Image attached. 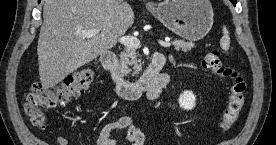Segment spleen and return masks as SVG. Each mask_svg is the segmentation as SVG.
Returning <instances> with one entry per match:
<instances>
[{"instance_id": "obj_1", "label": "spleen", "mask_w": 276, "mask_h": 145, "mask_svg": "<svg viewBox=\"0 0 276 145\" xmlns=\"http://www.w3.org/2000/svg\"><path fill=\"white\" fill-rule=\"evenodd\" d=\"M220 46L223 50L227 51L230 47L229 32L225 26H223V36L220 39Z\"/></svg>"}]
</instances>
